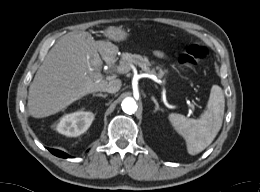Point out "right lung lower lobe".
Segmentation results:
<instances>
[{
    "instance_id": "right-lung-lower-lobe-1",
    "label": "right lung lower lobe",
    "mask_w": 260,
    "mask_h": 192,
    "mask_svg": "<svg viewBox=\"0 0 260 192\" xmlns=\"http://www.w3.org/2000/svg\"><path fill=\"white\" fill-rule=\"evenodd\" d=\"M52 154L61 158H69L70 156L62 151L56 149H48Z\"/></svg>"
}]
</instances>
